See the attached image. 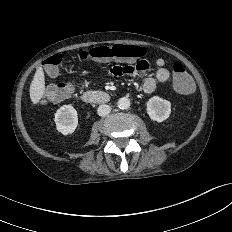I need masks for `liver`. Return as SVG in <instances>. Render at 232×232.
I'll return each mask as SVG.
<instances>
[{"mask_svg":"<svg viewBox=\"0 0 232 232\" xmlns=\"http://www.w3.org/2000/svg\"><path fill=\"white\" fill-rule=\"evenodd\" d=\"M30 98L33 104H37L45 92V76L42 67L36 70L30 85Z\"/></svg>","mask_w":232,"mask_h":232,"instance_id":"liver-1","label":"liver"}]
</instances>
